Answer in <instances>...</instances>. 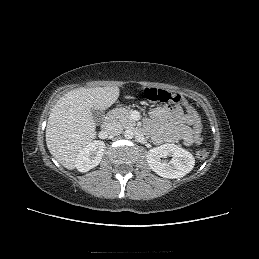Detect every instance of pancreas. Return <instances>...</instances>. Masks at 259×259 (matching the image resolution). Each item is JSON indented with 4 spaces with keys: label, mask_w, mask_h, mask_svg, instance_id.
<instances>
[{
    "label": "pancreas",
    "mask_w": 259,
    "mask_h": 259,
    "mask_svg": "<svg viewBox=\"0 0 259 259\" xmlns=\"http://www.w3.org/2000/svg\"><path fill=\"white\" fill-rule=\"evenodd\" d=\"M111 119L123 127H133L136 125L131 118V110L126 108H116L112 110Z\"/></svg>",
    "instance_id": "pancreas-1"
}]
</instances>
